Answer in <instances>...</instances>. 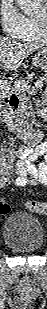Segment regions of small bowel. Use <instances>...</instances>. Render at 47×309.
Returning <instances> with one entry per match:
<instances>
[{"instance_id": "1", "label": "small bowel", "mask_w": 47, "mask_h": 309, "mask_svg": "<svg viewBox=\"0 0 47 309\" xmlns=\"http://www.w3.org/2000/svg\"><path fill=\"white\" fill-rule=\"evenodd\" d=\"M46 149V143H40L34 147L22 148L14 154L5 152L0 166V188L46 184L47 165L35 164Z\"/></svg>"}]
</instances>
